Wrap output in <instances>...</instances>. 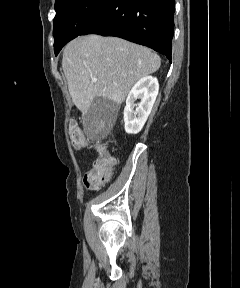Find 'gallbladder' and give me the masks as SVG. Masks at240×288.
I'll use <instances>...</instances> for the list:
<instances>
[{"label":"gallbladder","instance_id":"obj_1","mask_svg":"<svg viewBox=\"0 0 240 288\" xmlns=\"http://www.w3.org/2000/svg\"><path fill=\"white\" fill-rule=\"evenodd\" d=\"M115 112V105L109 101L101 98L95 97L89 111L85 115V122L87 124L97 120L103 119L105 121H110Z\"/></svg>","mask_w":240,"mask_h":288}]
</instances>
